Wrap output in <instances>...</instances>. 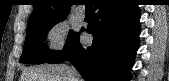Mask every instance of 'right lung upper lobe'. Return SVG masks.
Wrapping results in <instances>:
<instances>
[{
	"instance_id": "obj_1",
	"label": "right lung upper lobe",
	"mask_w": 169,
	"mask_h": 81,
	"mask_svg": "<svg viewBox=\"0 0 169 81\" xmlns=\"http://www.w3.org/2000/svg\"><path fill=\"white\" fill-rule=\"evenodd\" d=\"M33 12L28 25L49 19L65 17L69 11L71 0H34Z\"/></svg>"
}]
</instances>
